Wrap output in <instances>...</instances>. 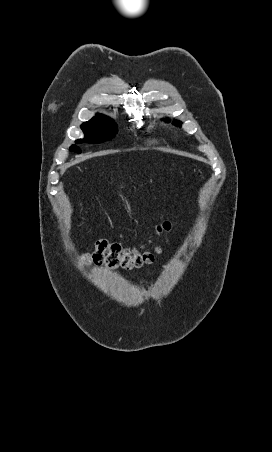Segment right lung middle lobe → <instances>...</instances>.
<instances>
[{"label": "right lung middle lobe", "mask_w": 272, "mask_h": 452, "mask_svg": "<svg viewBox=\"0 0 272 452\" xmlns=\"http://www.w3.org/2000/svg\"><path fill=\"white\" fill-rule=\"evenodd\" d=\"M81 129L84 132L85 137L84 139L77 140L76 143H100L111 139L115 135L117 132V125L112 119L101 116L88 122H84L81 125ZM70 151L81 153V150L76 145H72Z\"/></svg>", "instance_id": "dd1d6c3e"}]
</instances>
